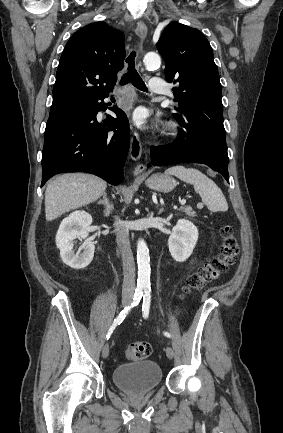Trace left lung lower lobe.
<instances>
[{
	"instance_id": "left-lung-lower-lobe-1",
	"label": "left lung lower lobe",
	"mask_w": 283,
	"mask_h": 433,
	"mask_svg": "<svg viewBox=\"0 0 283 433\" xmlns=\"http://www.w3.org/2000/svg\"><path fill=\"white\" fill-rule=\"evenodd\" d=\"M182 126L183 130L173 143L150 147L148 167L202 163L221 173L229 182L225 129L212 124Z\"/></svg>"
}]
</instances>
